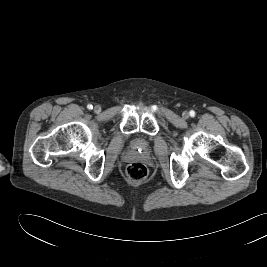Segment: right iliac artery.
Here are the masks:
<instances>
[{
	"label": "right iliac artery",
	"instance_id": "1",
	"mask_svg": "<svg viewBox=\"0 0 267 267\" xmlns=\"http://www.w3.org/2000/svg\"><path fill=\"white\" fill-rule=\"evenodd\" d=\"M87 108H88L89 110H92V109H93V106H92L91 104H88V105H87Z\"/></svg>",
	"mask_w": 267,
	"mask_h": 267
}]
</instances>
